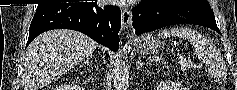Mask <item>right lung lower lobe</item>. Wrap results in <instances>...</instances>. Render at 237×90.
Returning <instances> with one entry per match:
<instances>
[{
	"label": "right lung lower lobe",
	"mask_w": 237,
	"mask_h": 90,
	"mask_svg": "<svg viewBox=\"0 0 237 90\" xmlns=\"http://www.w3.org/2000/svg\"><path fill=\"white\" fill-rule=\"evenodd\" d=\"M121 11L116 6L98 7L96 2L38 4L29 29V43L53 29L80 31L112 51L119 47Z\"/></svg>",
	"instance_id": "1"
}]
</instances>
